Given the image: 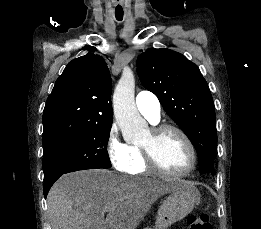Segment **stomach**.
<instances>
[{
	"mask_svg": "<svg viewBox=\"0 0 261 229\" xmlns=\"http://www.w3.org/2000/svg\"><path fill=\"white\" fill-rule=\"evenodd\" d=\"M170 183L174 189L158 211L155 229H168L173 223L181 221L200 201V193L192 181L173 179Z\"/></svg>",
	"mask_w": 261,
	"mask_h": 229,
	"instance_id": "stomach-1",
	"label": "stomach"
}]
</instances>
